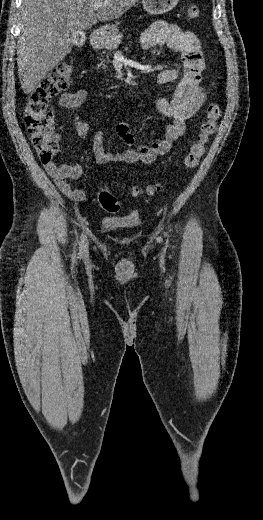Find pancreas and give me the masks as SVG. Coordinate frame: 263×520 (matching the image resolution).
Returning <instances> with one entry per match:
<instances>
[{"mask_svg":"<svg viewBox=\"0 0 263 520\" xmlns=\"http://www.w3.org/2000/svg\"><path fill=\"white\" fill-rule=\"evenodd\" d=\"M122 37H123L122 33H119V34L117 33L111 37H108L105 40V48L109 51L116 49L118 47V45L121 43ZM100 66L106 67V65L103 63L98 65V67H100Z\"/></svg>","mask_w":263,"mask_h":520,"instance_id":"obj_1","label":"pancreas"}]
</instances>
